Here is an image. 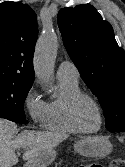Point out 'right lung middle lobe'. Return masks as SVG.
I'll return each instance as SVG.
<instances>
[{
    "label": "right lung middle lobe",
    "instance_id": "obj_1",
    "mask_svg": "<svg viewBox=\"0 0 125 167\" xmlns=\"http://www.w3.org/2000/svg\"><path fill=\"white\" fill-rule=\"evenodd\" d=\"M31 86L0 82V110L25 118L24 101Z\"/></svg>",
    "mask_w": 125,
    "mask_h": 167
}]
</instances>
